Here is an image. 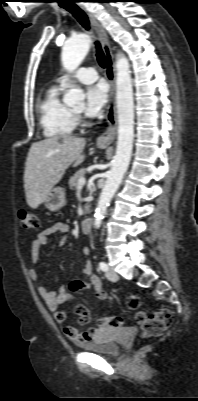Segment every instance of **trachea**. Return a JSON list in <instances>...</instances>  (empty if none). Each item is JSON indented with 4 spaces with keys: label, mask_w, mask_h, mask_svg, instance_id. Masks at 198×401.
Masks as SVG:
<instances>
[{
    "label": "trachea",
    "mask_w": 198,
    "mask_h": 401,
    "mask_svg": "<svg viewBox=\"0 0 198 401\" xmlns=\"http://www.w3.org/2000/svg\"><path fill=\"white\" fill-rule=\"evenodd\" d=\"M74 2L75 0H68V2L62 5V7L65 8L67 11H69L85 29L89 30L90 23L87 15ZM95 45H96V57L98 63L102 68H105L107 66V59L101 49L100 43L96 41Z\"/></svg>",
    "instance_id": "1"
}]
</instances>
